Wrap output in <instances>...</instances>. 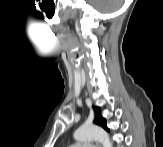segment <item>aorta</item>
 I'll return each mask as SVG.
<instances>
[{
    "label": "aorta",
    "instance_id": "1",
    "mask_svg": "<svg viewBox=\"0 0 163 147\" xmlns=\"http://www.w3.org/2000/svg\"><path fill=\"white\" fill-rule=\"evenodd\" d=\"M74 138L77 141H99L103 147H112V142L108 133L101 127L96 125L84 124L80 126L74 133Z\"/></svg>",
    "mask_w": 163,
    "mask_h": 147
}]
</instances>
